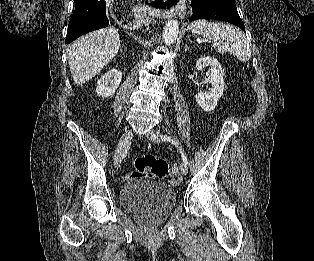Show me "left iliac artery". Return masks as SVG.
Segmentation results:
<instances>
[{"mask_svg": "<svg viewBox=\"0 0 314 261\" xmlns=\"http://www.w3.org/2000/svg\"><path fill=\"white\" fill-rule=\"evenodd\" d=\"M160 137H161V139L163 141L171 142L178 149V151L181 153V157H182L183 162L185 164H188L187 157L185 156V154L183 153L181 147L179 146L178 141H176L174 138H172L170 136H167V135H161Z\"/></svg>", "mask_w": 314, "mask_h": 261, "instance_id": "1", "label": "left iliac artery"}]
</instances>
